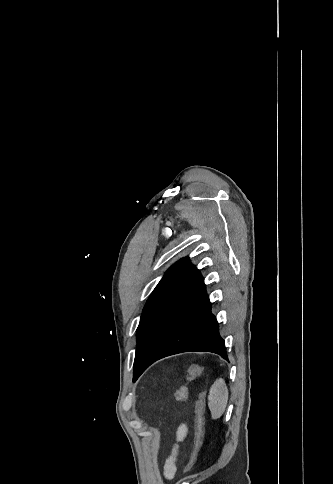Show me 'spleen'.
Masks as SVG:
<instances>
[{"instance_id": "obj_1", "label": "spleen", "mask_w": 333, "mask_h": 484, "mask_svg": "<svg viewBox=\"0 0 333 484\" xmlns=\"http://www.w3.org/2000/svg\"><path fill=\"white\" fill-rule=\"evenodd\" d=\"M228 402V388L224 379H217L209 390L208 407L211 412V417L214 420L219 419L227 406Z\"/></svg>"}]
</instances>
